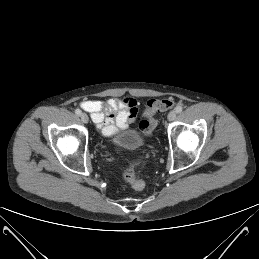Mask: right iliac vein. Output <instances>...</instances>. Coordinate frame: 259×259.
I'll list each match as a JSON object with an SVG mask.
<instances>
[{
    "instance_id": "63e3f726",
    "label": "right iliac vein",
    "mask_w": 259,
    "mask_h": 259,
    "mask_svg": "<svg viewBox=\"0 0 259 259\" xmlns=\"http://www.w3.org/2000/svg\"><path fill=\"white\" fill-rule=\"evenodd\" d=\"M81 120H82V122L85 123V124L88 123L89 118H88L87 114L82 113V114H81Z\"/></svg>"
}]
</instances>
